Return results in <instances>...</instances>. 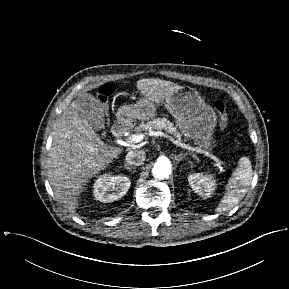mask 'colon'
I'll list each match as a JSON object with an SVG mask.
<instances>
[{
    "instance_id": "5ec220e1",
    "label": "colon",
    "mask_w": 289,
    "mask_h": 289,
    "mask_svg": "<svg viewBox=\"0 0 289 289\" xmlns=\"http://www.w3.org/2000/svg\"><path fill=\"white\" fill-rule=\"evenodd\" d=\"M114 91L112 84H104L98 89L97 97L104 108L107 107L109 97ZM214 109L218 115L219 123L222 129L228 127V114L226 104L222 100H216L214 102Z\"/></svg>"
}]
</instances>
